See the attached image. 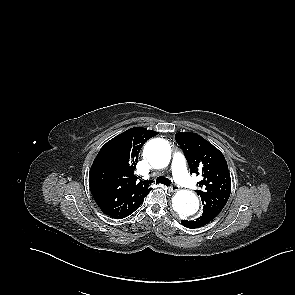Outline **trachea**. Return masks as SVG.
I'll use <instances>...</instances> for the list:
<instances>
[{
	"mask_svg": "<svg viewBox=\"0 0 295 295\" xmlns=\"http://www.w3.org/2000/svg\"><path fill=\"white\" fill-rule=\"evenodd\" d=\"M156 184H164L166 186H170L171 185V181L168 178L157 177Z\"/></svg>",
	"mask_w": 295,
	"mask_h": 295,
	"instance_id": "3493384b",
	"label": "trachea"
}]
</instances>
